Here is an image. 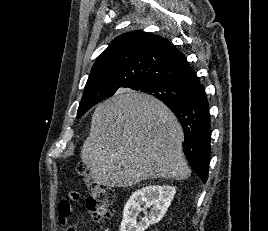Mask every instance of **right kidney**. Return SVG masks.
I'll list each match as a JSON object with an SVG mask.
<instances>
[{"instance_id":"right-kidney-1","label":"right kidney","mask_w":268,"mask_h":231,"mask_svg":"<svg viewBox=\"0 0 268 231\" xmlns=\"http://www.w3.org/2000/svg\"><path fill=\"white\" fill-rule=\"evenodd\" d=\"M175 193L176 188L169 185H149L135 191L124 207L120 231H145L150 225L158 223ZM147 208H150L149 213ZM142 211L144 217L137 222L138 214Z\"/></svg>"}]
</instances>
